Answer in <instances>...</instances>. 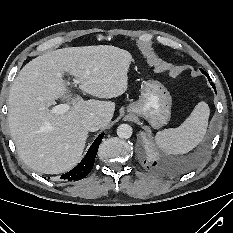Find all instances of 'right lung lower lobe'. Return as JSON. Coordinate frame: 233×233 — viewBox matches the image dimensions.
<instances>
[{"label":"right lung lower lobe","mask_w":233,"mask_h":233,"mask_svg":"<svg viewBox=\"0 0 233 233\" xmlns=\"http://www.w3.org/2000/svg\"><path fill=\"white\" fill-rule=\"evenodd\" d=\"M104 137V133H101L95 141L90 146L88 152L86 153L85 157L82 161L71 171L63 174L61 179L64 180H80L86 177L90 171L92 170L95 162V157L98 151V147Z\"/></svg>","instance_id":"obj_1"}]
</instances>
